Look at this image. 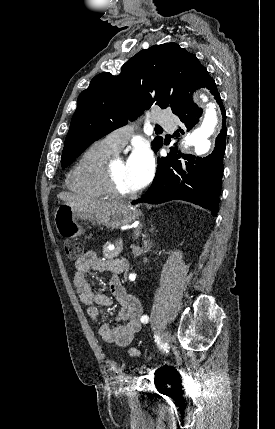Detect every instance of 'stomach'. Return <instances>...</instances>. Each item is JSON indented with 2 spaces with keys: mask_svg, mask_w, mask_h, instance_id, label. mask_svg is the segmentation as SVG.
<instances>
[{
  "mask_svg": "<svg viewBox=\"0 0 275 429\" xmlns=\"http://www.w3.org/2000/svg\"><path fill=\"white\" fill-rule=\"evenodd\" d=\"M141 212L130 204H120L100 213L79 212L75 208L62 204L54 214L57 232L66 238H76L84 233L79 221H90L108 228H119L139 218Z\"/></svg>",
  "mask_w": 275,
  "mask_h": 429,
  "instance_id": "obj_1",
  "label": "stomach"
}]
</instances>
